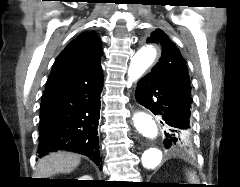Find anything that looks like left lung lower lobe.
I'll return each instance as SVG.
<instances>
[{"instance_id":"obj_1","label":"left lung lower lobe","mask_w":240,"mask_h":187,"mask_svg":"<svg viewBox=\"0 0 240 187\" xmlns=\"http://www.w3.org/2000/svg\"><path fill=\"white\" fill-rule=\"evenodd\" d=\"M135 96L140 105L163 120L166 148L192 150V139H185L181 134L191 130V95L174 90L148 73L139 80Z\"/></svg>"}]
</instances>
